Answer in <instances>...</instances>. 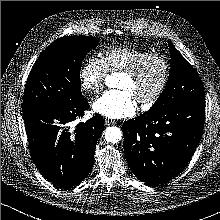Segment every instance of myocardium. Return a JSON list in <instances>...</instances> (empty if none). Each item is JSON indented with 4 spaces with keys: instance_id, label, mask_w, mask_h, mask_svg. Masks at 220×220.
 <instances>
[{
    "instance_id": "f54148a6",
    "label": "myocardium",
    "mask_w": 220,
    "mask_h": 220,
    "mask_svg": "<svg viewBox=\"0 0 220 220\" xmlns=\"http://www.w3.org/2000/svg\"><path fill=\"white\" fill-rule=\"evenodd\" d=\"M153 60H156L161 63L163 68V74L157 88L149 96L142 97L138 100V102L142 106H147V107H151L152 105H154L158 101V99L162 96L163 92L167 87L170 77V64L167 58L161 54L150 53L144 56L143 58H141L140 60H138L137 62H135L128 69L123 70L122 72V74L128 77L135 78L143 71L146 65Z\"/></svg>"
}]
</instances>
